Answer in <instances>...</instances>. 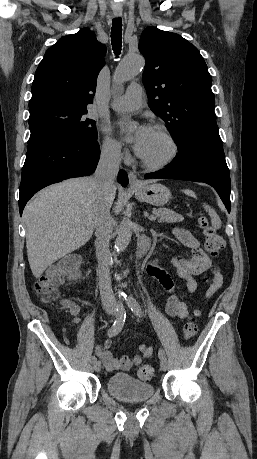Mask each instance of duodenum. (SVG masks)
<instances>
[{
	"mask_svg": "<svg viewBox=\"0 0 257 459\" xmlns=\"http://www.w3.org/2000/svg\"><path fill=\"white\" fill-rule=\"evenodd\" d=\"M152 240L153 237H146L140 240L136 251V257L138 259L144 257L149 252Z\"/></svg>",
	"mask_w": 257,
	"mask_h": 459,
	"instance_id": "obj_1",
	"label": "duodenum"
}]
</instances>
